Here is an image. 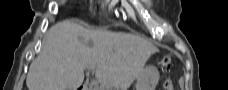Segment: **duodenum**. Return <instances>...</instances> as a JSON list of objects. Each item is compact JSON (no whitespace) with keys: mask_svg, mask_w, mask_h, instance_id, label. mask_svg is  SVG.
Segmentation results:
<instances>
[{"mask_svg":"<svg viewBox=\"0 0 228 90\" xmlns=\"http://www.w3.org/2000/svg\"><path fill=\"white\" fill-rule=\"evenodd\" d=\"M79 90H87V89L85 88V86H83V87L79 88Z\"/></svg>","mask_w":228,"mask_h":90,"instance_id":"duodenum-1","label":"duodenum"}]
</instances>
